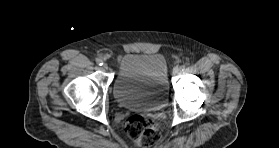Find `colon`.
<instances>
[{"label":"colon","instance_id":"obj_1","mask_svg":"<svg viewBox=\"0 0 279 148\" xmlns=\"http://www.w3.org/2000/svg\"><path fill=\"white\" fill-rule=\"evenodd\" d=\"M124 130L127 136L142 148L156 144L161 137L159 124L145 115L128 116L124 121Z\"/></svg>","mask_w":279,"mask_h":148}]
</instances>
